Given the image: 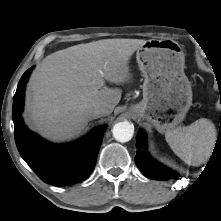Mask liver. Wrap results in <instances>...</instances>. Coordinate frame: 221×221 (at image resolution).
Wrapping results in <instances>:
<instances>
[{"mask_svg":"<svg viewBox=\"0 0 221 221\" xmlns=\"http://www.w3.org/2000/svg\"><path fill=\"white\" fill-rule=\"evenodd\" d=\"M146 40L104 39L78 44L46 56L33 72L27 90V121L43 137L64 141L78 135L91 120L86 110L101 106L113 112L120 88H102L130 79L129 60ZM102 71V74L99 71Z\"/></svg>","mask_w":221,"mask_h":221,"instance_id":"liver-1","label":"liver"}]
</instances>
